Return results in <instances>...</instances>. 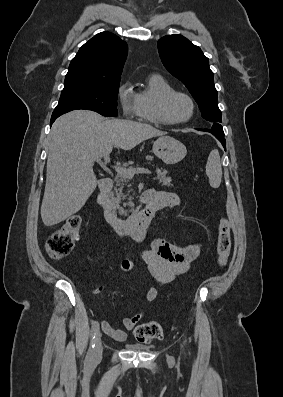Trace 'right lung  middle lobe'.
<instances>
[{
  "label": "right lung middle lobe",
  "mask_w": 283,
  "mask_h": 397,
  "mask_svg": "<svg viewBox=\"0 0 283 397\" xmlns=\"http://www.w3.org/2000/svg\"><path fill=\"white\" fill-rule=\"evenodd\" d=\"M120 79L66 74L64 89L54 111L86 109L106 117H116Z\"/></svg>",
  "instance_id": "dd1d6c3e"
}]
</instances>
